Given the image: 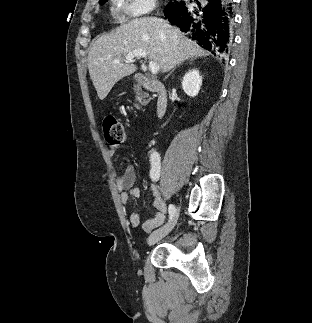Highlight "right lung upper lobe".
<instances>
[{
	"mask_svg": "<svg viewBox=\"0 0 312 323\" xmlns=\"http://www.w3.org/2000/svg\"><path fill=\"white\" fill-rule=\"evenodd\" d=\"M105 2H106V0H100V4H103Z\"/></svg>",
	"mask_w": 312,
	"mask_h": 323,
	"instance_id": "right-lung-upper-lobe-1",
	"label": "right lung upper lobe"
}]
</instances>
